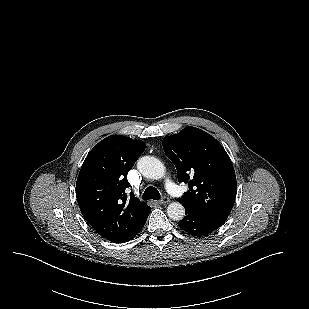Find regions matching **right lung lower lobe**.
Masks as SVG:
<instances>
[{
    "label": "right lung lower lobe",
    "instance_id": "right-lung-lower-lobe-1",
    "mask_svg": "<svg viewBox=\"0 0 309 309\" xmlns=\"http://www.w3.org/2000/svg\"><path fill=\"white\" fill-rule=\"evenodd\" d=\"M150 213V212H149ZM149 215V214H148ZM148 217V216H147ZM147 218L144 220V222L131 234H129L128 236L124 237V238H121V239H118V240H115V241H112V242H117V243H123V242H127L129 241L130 239H132L134 236H136L137 233L140 232V230L143 228L145 222H146Z\"/></svg>",
    "mask_w": 309,
    "mask_h": 309
}]
</instances>
